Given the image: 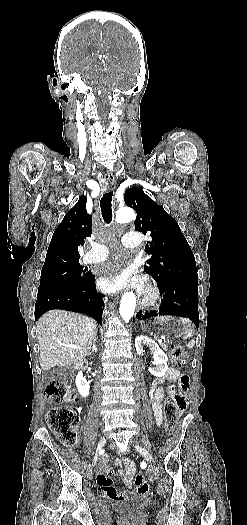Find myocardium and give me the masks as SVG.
<instances>
[{
  "mask_svg": "<svg viewBox=\"0 0 247 525\" xmlns=\"http://www.w3.org/2000/svg\"><path fill=\"white\" fill-rule=\"evenodd\" d=\"M143 280L145 283H147V286L140 306H150L153 305L159 299L160 289L157 282L152 276L145 275Z\"/></svg>",
  "mask_w": 247,
  "mask_h": 525,
  "instance_id": "1",
  "label": "myocardium"
}]
</instances>
